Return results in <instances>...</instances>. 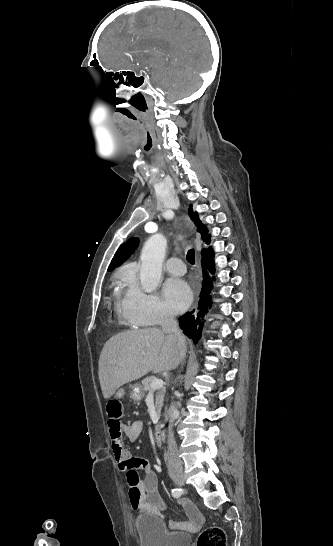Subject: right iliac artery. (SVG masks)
Listing matches in <instances>:
<instances>
[{
	"instance_id": "1",
	"label": "right iliac artery",
	"mask_w": 333,
	"mask_h": 546,
	"mask_svg": "<svg viewBox=\"0 0 333 546\" xmlns=\"http://www.w3.org/2000/svg\"><path fill=\"white\" fill-rule=\"evenodd\" d=\"M181 494H182V492H181L180 489H173V490H172V496H173L174 498L180 497Z\"/></svg>"
}]
</instances>
